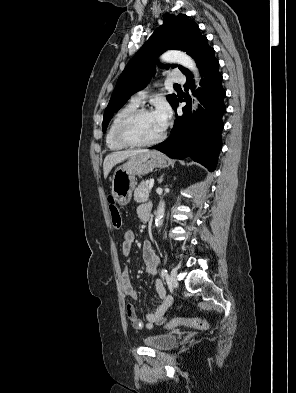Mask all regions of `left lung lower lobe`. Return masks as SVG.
Returning a JSON list of instances; mask_svg holds the SVG:
<instances>
[{
    "instance_id": "left-lung-lower-lobe-1",
    "label": "left lung lower lobe",
    "mask_w": 296,
    "mask_h": 393,
    "mask_svg": "<svg viewBox=\"0 0 296 393\" xmlns=\"http://www.w3.org/2000/svg\"><path fill=\"white\" fill-rule=\"evenodd\" d=\"M219 62L212 50L198 66L202 79L199 93L196 94L192 75L186 76L185 90L191 89L192 94L200 97L201 106L191 118V98L183 108V115L177 116L171 135L155 148L175 159L191 157L210 171L217 164V158L222 146L221 131L222 116L226 110L224 105L225 91L222 87V75L218 70ZM178 106V102L174 109Z\"/></svg>"
}]
</instances>
